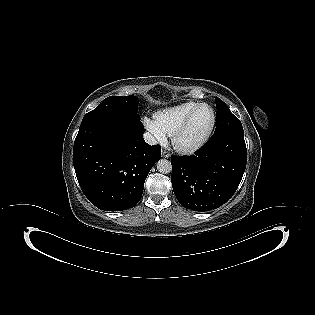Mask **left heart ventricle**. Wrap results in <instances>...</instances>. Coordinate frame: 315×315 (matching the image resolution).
I'll list each match as a JSON object with an SVG mask.
<instances>
[{
	"instance_id": "left-heart-ventricle-1",
	"label": "left heart ventricle",
	"mask_w": 315,
	"mask_h": 315,
	"mask_svg": "<svg viewBox=\"0 0 315 315\" xmlns=\"http://www.w3.org/2000/svg\"><path fill=\"white\" fill-rule=\"evenodd\" d=\"M212 122V112L208 107H202L195 114L188 129L180 139L184 146L198 142L208 131Z\"/></svg>"
}]
</instances>
